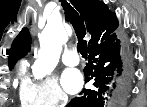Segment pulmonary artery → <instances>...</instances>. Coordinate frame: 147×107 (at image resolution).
I'll return each instance as SVG.
<instances>
[{
  "instance_id": "1",
  "label": "pulmonary artery",
  "mask_w": 147,
  "mask_h": 107,
  "mask_svg": "<svg viewBox=\"0 0 147 107\" xmlns=\"http://www.w3.org/2000/svg\"><path fill=\"white\" fill-rule=\"evenodd\" d=\"M62 61L67 66H75L79 63L76 50L68 49L62 56Z\"/></svg>"
}]
</instances>
